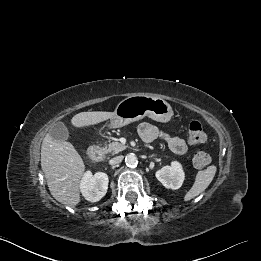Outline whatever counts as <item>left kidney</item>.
Wrapping results in <instances>:
<instances>
[{
  "mask_svg": "<svg viewBox=\"0 0 261 261\" xmlns=\"http://www.w3.org/2000/svg\"><path fill=\"white\" fill-rule=\"evenodd\" d=\"M184 177L182 166L177 161H173L171 166H164L156 172V178L163 186L173 190H177L182 186Z\"/></svg>",
  "mask_w": 261,
  "mask_h": 261,
  "instance_id": "1",
  "label": "left kidney"
}]
</instances>
